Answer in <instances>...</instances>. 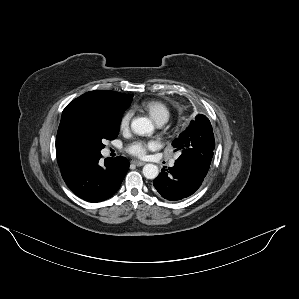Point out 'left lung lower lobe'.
<instances>
[{
    "mask_svg": "<svg viewBox=\"0 0 299 299\" xmlns=\"http://www.w3.org/2000/svg\"><path fill=\"white\" fill-rule=\"evenodd\" d=\"M208 170L200 163L178 158L173 167L162 170L153 185L163 198L181 200L197 191Z\"/></svg>",
    "mask_w": 299,
    "mask_h": 299,
    "instance_id": "obj_1",
    "label": "left lung lower lobe"
}]
</instances>
